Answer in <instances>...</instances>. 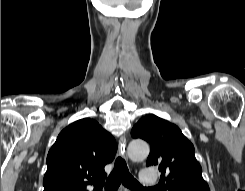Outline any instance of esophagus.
<instances>
[{
  "instance_id": "obj_1",
  "label": "esophagus",
  "mask_w": 245,
  "mask_h": 191,
  "mask_svg": "<svg viewBox=\"0 0 245 191\" xmlns=\"http://www.w3.org/2000/svg\"><path fill=\"white\" fill-rule=\"evenodd\" d=\"M126 146H127V140L126 137L123 135L119 139L118 151L120 156L123 157L124 159H127Z\"/></svg>"
}]
</instances>
